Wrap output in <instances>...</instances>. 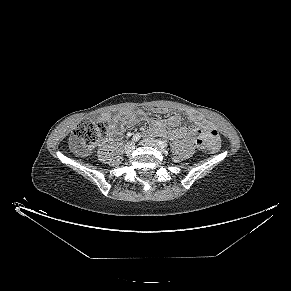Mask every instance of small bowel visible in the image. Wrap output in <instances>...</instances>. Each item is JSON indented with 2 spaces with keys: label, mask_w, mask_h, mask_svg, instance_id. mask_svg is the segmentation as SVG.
<instances>
[{
  "label": "small bowel",
  "mask_w": 291,
  "mask_h": 291,
  "mask_svg": "<svg viewBox=\"0 0 291 291\" xmlns=\"http://www.w3.org/2000/svg\"><path fill=\"white\" fill-rule=\"evenodd\" d=\"M153 111L163 114L169 110L165 107H158L154 108ZM189 117L198 125V128L189 131L186 127L181 126V120L178 116L160 119L149 117L141 110H123L114 118L109 114L104 115L105 119L112 121L117 134L139 121H146L149 124V135L159 134L170 139H181L189 136L197 147L205 148L218 135L216 129L197 113H190Z\"/></svg>",
  "instance_id": "c3829d8e"
}]
</instances>
